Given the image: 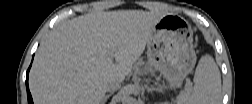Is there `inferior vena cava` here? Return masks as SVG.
I'll return each mask as SVG.
<instances>
[{"label":"inferior vena cava","instance_id":"obj_1","mask_svg":"<svg viewBox=\"0 0 252 104\" xmlns=\"http://www.w3.org/2000/svg\"><path fill=\"white\" fill-rule=\"evenodd\" d=\"M121 87V81L120 80H110L106 86L107 92H115Z\"/></svg>","mask_w":252,"mask_h":104}]
</instances>
